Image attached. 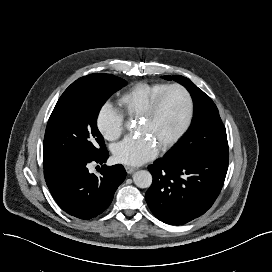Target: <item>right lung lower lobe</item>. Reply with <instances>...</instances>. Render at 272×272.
<instances>
[{"label": "right lung lower lobe", "instance_id": "obj_1", "mask_svg": "<svg viewBox=\"0 0 272 272\" xmlns=\"http://www.w3.org/2000/svg\"><path fill=\"white\" fill-rule=\"evenodd\" d=\"M107 150L92 157L72 154L44 155V177L47 186L60 206L68 214L91 219L108 208L126 171L121 164L102 166L100 175L88 171V164L105 163Z\"/></svg>", "mask_w": 272, "mask_h": 272}]
</instances>
